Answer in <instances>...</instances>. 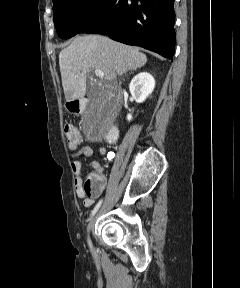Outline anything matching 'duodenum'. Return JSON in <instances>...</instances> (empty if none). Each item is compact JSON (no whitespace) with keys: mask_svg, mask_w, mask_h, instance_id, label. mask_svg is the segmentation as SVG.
<instances>
[{"mask_svg":"<svg viewBox=\"0 0 240 288\" xmlns=\"http://www.w3.org/2000/svg\"><path fill=\"white\" fill-rule=\"evenodd\" d=\"M78 107L81 108L80 105H78ZM117 136H118V131H117L116 127H112L109 130V132H108V134L106 136V139H107L108 142L112 143V142H114L117 139Z\"/></svg>","mask_w":240,"mask_h":288,"instance_id":"410a0bca","label":"duodenum"}]
</instances>
